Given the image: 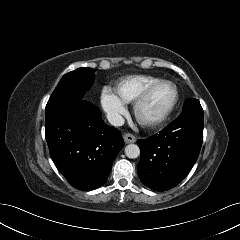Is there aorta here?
<instances>
[{
  "label": "aorta",
  "instance_id": "obj_1",
  "mask_svg": "<svg viewBox=\"0 0 240 240\" xmlns=\"http://www.w3.org/2000/svg\"><path fill=\"white\" fill-rule=\"evenodd\" d=\"M125 155L128 158L135 159L140 155V149L136 144H129L125 147Z\"/></svg>",
  "mask_w": 240,
  "mask_h": 240
}]
</instances>
